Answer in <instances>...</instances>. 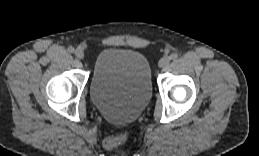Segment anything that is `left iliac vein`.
<instances>
[{"mask_svg":"<svg viewBox=\"0 0 259 156\" xmlns=\"http://www.w3.org/2000/svg\"><path fill=\"white\" fill-rule=\"evenodd\" d=\"M169 62H170V58L169 57L161 58L160 61H159V67L160 68H164V67H166L169 64Z\"/></svg>","mask_w":259,"mask_h":156,"instance_id":"obj_1","label":"left iliac vein"}]
</instances>
